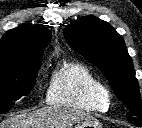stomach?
I'll return each instance as SVG.
<instances>
[{
	"instance_id": "stomach-1",
	"label": "stomach",
	"mask_w": 142,
	"mask_h": 128,
	"mask_svg": "<svg viewBox=\"0 0 142 128\" xmlns=\"http://www.w3.org/2000/svg\"><path fill=\"white\" fill-rule=\"evenodd\" d=\"M102 128V125L94 118H88L79 122L74 128Z\"/></svg>"
}]
</instances>
